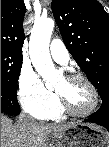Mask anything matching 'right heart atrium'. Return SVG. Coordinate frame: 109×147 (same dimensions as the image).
<instances>
[{"label": "right heart atrium", "instance_id": "obj_1", "mask_svg": "<svg viewBox=\"0 0 109 147\" xmlns=\"http://www.w3.org/2000/svg\"><path fill=\"white\" fill-rule=\"evenodd\" d=\"M18 99L31 114L49 109L57 101L56 95L48 90L29 67H23L18 80Z\"/></svg>", "mask_w": 109, "mask_h": 147}]
</instances>
